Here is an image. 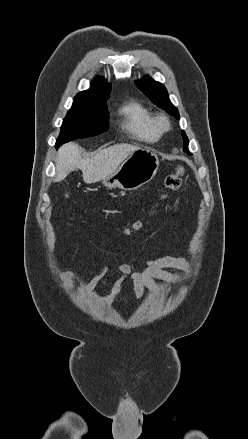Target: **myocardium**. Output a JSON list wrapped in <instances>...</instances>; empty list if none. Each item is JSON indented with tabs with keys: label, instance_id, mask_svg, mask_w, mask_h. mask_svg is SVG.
Wrapping results in <instances>:
<instances>
[{
	"label": "myocardium",
	"instance_id": "myocardium-1",
	"mask_svg": "<svg viewBox=\"0 0 248 439\" xmlns=\"http://www.w3.org/2000/svg\"><path fill=\"white\" fill-rule=\"evenodd\" d=\"M155 123L160 132H167L170 130L171 122L166 114H158L155 117Z\"/></svg>",
	"mask_w": 248,
	"mask_h": 439
}]
</instances>
